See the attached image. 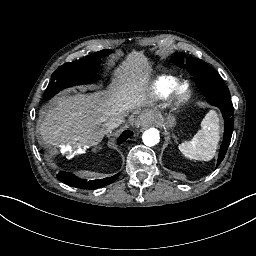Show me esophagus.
Wrapping results in <instances>:
<instances>
[{"label": "esophagus", "mask_w": 256, "mask_h": 256, "mask_svg": "<svg viewBox=\"0 0 256 256\" xmlns=\"http://www.w3.org/2000/svg\"><path fill=\"white\" fill-rule=\"evenodd\" d=\"M152 124V119L149 118L146 115H139L136 119H135V124L134 126L136 128L139 127H147L150 126Z\"/></svg>", "instance_id": "1"}]
</instances>
